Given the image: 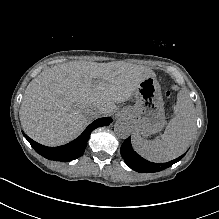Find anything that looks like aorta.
Masks as SVG:
<instances>
[{"mask_svg": "<svg viewBox=\"0 0 219 219\" xmlns=\"http://www.w3.org/2000/svg\"><path fill=\"white\" fill-rule=\"evenodd\" d=\"M114 131L122 139L128 138L132 133V128L127 120H118L115 122Z\"/></svg>", "mask_w": 219, "mask_h": 219, "instance_id": "1", "label": "aorta"}]
</instances>
